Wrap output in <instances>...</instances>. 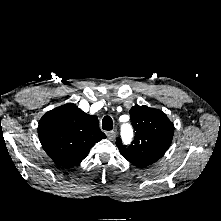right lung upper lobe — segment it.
<instances>
[{"label": "right lung upper lobe", "instance_id": "obj_1", "mask_svg": "<svg viewBox=\"0 0 221 221\" xmlns=\"http://www.w3.org/2000/svg\"><path fill=\"white\" fill-rule=\"evenodd\" d=\"M40 142L59 166H76L95 143L106 138L96 116L88 115L73 103L47 112L39 121Z\"/></svg>", "mask_w": 221, "mask_h": 221}]
</instances>
